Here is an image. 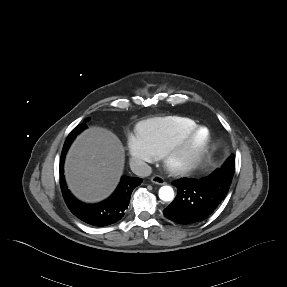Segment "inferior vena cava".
Returning <instances> with one entry per match:
<instances>
[{"instance_id":"1","label":"inferior vena cava","mask_w":287,"mask_h":287,"mask_svg":"<svg viewBox=\"0 0 287 287\" xmlns=\"http://www.w3.org/2000/svg\"><path fill=\"white\" fill-rule=\"evenodd\" d=\"M130 168L132 172L139 177H147L152 173L151 167L139 159H131Z\"/></svg>"}]
</instances>
